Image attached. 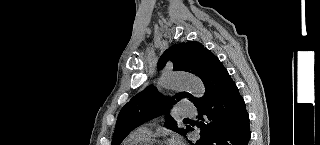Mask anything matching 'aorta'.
I'll use <instances>...</instances> for the list:
<instances>
[{
    "label": "aorta",
    "instance_id": "762f6f07",
    "mask_svg": "<svg viewBox=\"0 0 320 145\" xmlns=\"http://www.w3.org/2000/svg\"><path fill=\"white\" fill-rule=\"evenodd\" d=\"M159 84L164 89L188 90L195 97H202L205 92V87L201 79L186 73H163L159 79Z\"/></svg>",
    "mask_w": 320,
    "mask_h": 145
}]
</instances>
